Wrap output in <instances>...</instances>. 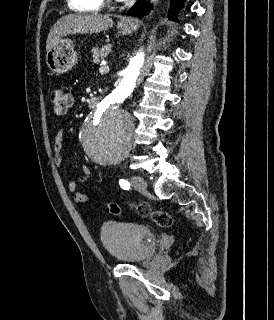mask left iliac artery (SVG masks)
<instances>
[{"label": "left iliac artery", "instance_id": "obj_1", "mask_svg": "<svg viewBox=\"0 0 274 320\" xmlns=\"http://www.w3.org/2000/svg\"><path fill=\"white\" fill-rule=\"evenodd\" d=\"M119 184H120L121 188L124 190H128L130 188V183L127 180L120 179Z\"/></svg>", "mask_w": 274, "mask_h": 320}]
</instances>
